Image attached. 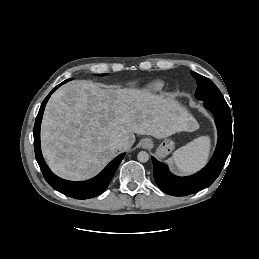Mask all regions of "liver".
<instances>
[{
    "instance_id": "liver-1",
    "label": "liver",
    "mask_w": 259,
    "mask_h": 259,
    "mask_svg": "<svg viewBox=\"0 0 259 259\" xmlns=\"http://www.w3.org/2000/svg\"><path fill=\"white\" fill-rule=\"evenodd\" d=\"M198 128L177 101L140 89H103L85 80L68 82L50 98L42 121L41 146L50 169L70 180L100 172L131 148L135 134L167 138ZM119 137L125 146L117 148Z\"/></svg>"
}]
</instances>
